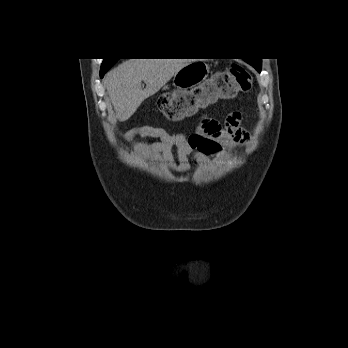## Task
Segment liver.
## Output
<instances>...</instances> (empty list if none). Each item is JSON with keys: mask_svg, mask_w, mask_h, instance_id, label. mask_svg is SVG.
Segmentation results:
<instances>
[{"mask_svg": "<svg viewBox=\"0 0 348 348\" xmlns=\"http://www.w3.org/2000/svg\"><path fill=\"white\" fill-rule=\"evenodd\" d=\"M189 63L185 59H129L110 71L105 85L118 119L128 120L146 98Z\"/></svg>", "mask_w": 348, "mask_h": 348, "instance_id": "6515ba94", "label": "liver"}]
</instances>
